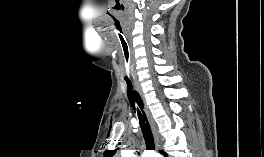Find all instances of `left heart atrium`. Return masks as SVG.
Listing matches in <instances>:
<instances>
[{
  "instance_id": "left-heart-atrium-1",
  "label": "left heart atrium",
  "mask_w": 264,
  "mask_h": 157,
  "mask_svg": "<svg viewBox=\"0 0 264 157\" xmlns=\"http://www.w3.org/2000/svg\"><path fill=\"white\" fill-rule=\"evenodd\" d=\"M147 157H156L154 154H151V155H149V156H147Z\"/></svg>"
}]
</instances>
